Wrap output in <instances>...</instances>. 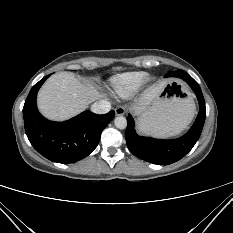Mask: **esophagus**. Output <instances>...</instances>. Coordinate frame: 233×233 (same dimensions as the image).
<instances>
[{
    "instance_id": "34e87169",
    "label": "esophagus",
    "mask_w": 233,
    "mask_h": 233,
    "mask_svg": "<svg viewBox=\"0 0 233 233\" xmlns=\"http://www.w3.org/2000/svg\"><path fill=\"white\" fill-rule=\"evenodd\" d=\"M115 113L117 116H122L126 113V109L122 106H118L116 109H115Z\"/></svg>"
}]
</instances>
